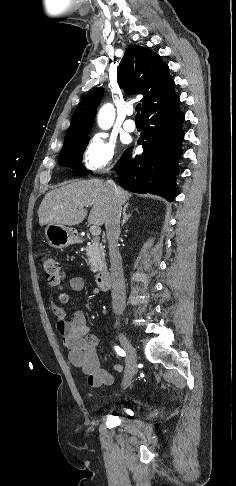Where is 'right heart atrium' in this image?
Returning <instances> with one entry per match:
<instances>
[{
    "label": "right heart atrium",
    "instance_id": "obj_1",
    "mask_svg": "<svg viewBox=\"0 0 236 486\" xmlns=\"http://www.w3.org/2000/svg\"><path fill=\"white\" fill-rule=\"evenodd\" d=\"M117 154L118 148L115 141L104 133H96L85 146L84 165L91 172L104 170L115 163Z\"/></svg>",
    "mask_w": 236,
    "mask_h": 486
}]
</instances>
